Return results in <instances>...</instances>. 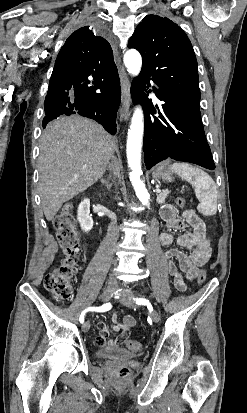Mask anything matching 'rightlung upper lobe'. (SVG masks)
Masks as SVG:
<instances>
[{"mask_svg":"<svg viewBox=\"0 0 247 413\" xmlns=\"http://www.w3.org/2000/svg\"><path fill=\"white\" fill-rule=\"evenodd\" d=\"M110 44L84 26L73 32L58 53L53 73L106 75L116 71Z\"/></svg>","mask_w":247,"mask_h":413,"instance_id":"obj_1","label":"right lung upper lobe"}]
</instances>
